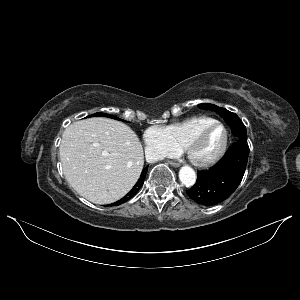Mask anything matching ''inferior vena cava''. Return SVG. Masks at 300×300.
Instances as JSON below:
<instances>
[{
    "label": "inferior vena cava",
    "mask_w": 300,
    "mask_h": 300,
    "mask_svg": "<svg viewBox=\"0 0 300 300\" xmlns=\"http://www.w3.org/2000/svg\"><path fill=\"white\" fill-rule=\"evenodd\" d=\"M145 155H146V160L150 163H153L163 158L162 154L156 152L152 153L149 150L145 151Z\"/></svg>",
    "instance_id": "1"
}]
</instances>
